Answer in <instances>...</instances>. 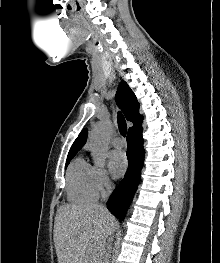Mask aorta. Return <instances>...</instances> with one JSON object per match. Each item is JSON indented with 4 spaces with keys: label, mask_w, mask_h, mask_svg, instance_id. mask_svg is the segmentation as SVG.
I'll return each mask as SVG.
<instances>
[{
    "label": "aorta",
    "mask_w": 220,
    "mask_h": 263,
    "mask_svg": "<svg viewBox=\"0 0 220 263\" xmlns=\"http://www.w3.org/2000/svg\"><path fill=\"white\" fill-rule=\"evenodd\" d=\"M111 124L108 121L100 122L91 136L93 159L97 166L103 167L108 152V139L111 132Z\"/></svg>",
    "instance_id": "762f6f07"
}]
</instances>
